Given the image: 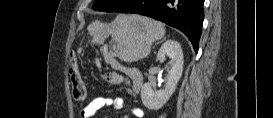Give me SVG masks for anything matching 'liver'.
Listing matches in <instances>:
<instances>
[{
  "instance_id": "6515ba94",
  "label": "liver",
  "mask_w": 273,
  "mask_h": 118,
  "mask_svg": "<svg viewBox=\"0 0 273 118\" xmlns=\"http://www.w3.org/2000/svg\"><path fill=\"white\" fill-rule=\"evenodd\" d=\"M88 31L93 35V44L102 45L107 37L112 36L122 47L118 58L126 63L148 56L153 42L165 35V27L161 22L136 14H119L109 24L94 21L88 26Z\"/></svg>"
}]
</instances>
